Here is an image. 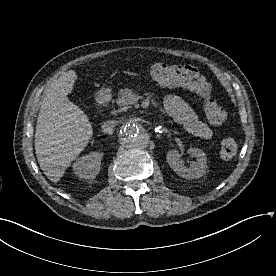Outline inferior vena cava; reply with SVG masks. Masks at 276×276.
<instances>
[{
	"mask_svg": "<svg viewBox=\"0 0 276 276\" xmlns=\"http://www.w3.org/2000/svg\"><path fill=\"white\" fill-rule=\"evenodd\" d=\"M117 124H118V121H116V120H109V121H106L102 125V129H103L104 132H110Z\"/></svg>",
	"mask_w": 276,
	"mask_h": 276,
	"instance_id": "602c4592",
	"label": "inferior vena cava"
}]
</instances>
